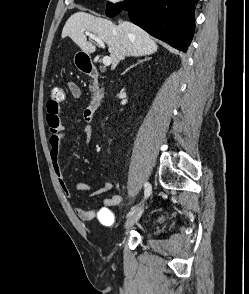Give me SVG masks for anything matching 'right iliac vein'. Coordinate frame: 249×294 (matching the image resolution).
Segmentation results:
<instances>
[{
	"mask_svg": "<svg viewBox=\"0 0 249 294\" xmlns=\"http://www.w3.org/2000/svg\"><path fill=\"white\" fill-rule=\"evenodd\" d=\"M143 213V208H140L138 211L133 213L125 222V229H130L132 226H134L138 220L140 219L141 215Z\"/></svg>",
	"mask_w": 249,
	"mask_h": 294,
	"instance_id": "1",
	"label": "right iliac vein"
}]
</instances>
